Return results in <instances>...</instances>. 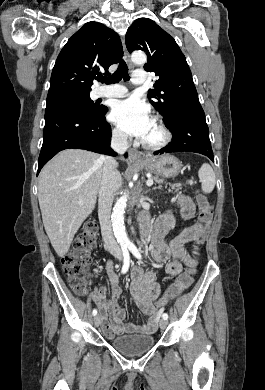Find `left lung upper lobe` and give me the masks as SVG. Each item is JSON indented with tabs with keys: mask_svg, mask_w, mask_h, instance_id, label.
Masks as SVG:
<instances>
[{
	"mask_svg": "<svg viewBox=\"0 0 265 390\" xmlns=\"http://www.w3.org/2000/svg\"><path fill=\"white\" fill-rule=\"evenodd\" d=\"M125 41L130 53H147L144 69L159 76L148 98L164 117L166 127L181 109L200 104L186 58L172 36L151 19L139 18L128 28Z\"/></svg>",
	"mask_w": 265,
	"mask_h": 390,
	"instance_id": "1",
	"label": "left lung upper lobe"
}]
</instances>
